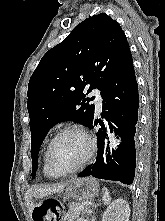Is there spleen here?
<instances>
[{
  "instance_id": "spleen-1",
  "label": "spleen",
  "mask_w": 165,
  "mask_h": 221,
  "mask_svg": "<svg viewBox=\"0 0 165 221\" xmlns=\"http://www.w3.org/2000/svg\"><path fill=\"white\" fill-rule=\"evenodd\" d=\"M103 191H104V194H103V203H104V205H107V204L110 203L111 197H110V195H109V191H108L107 188L104 187V188H103Z\"/></svg>"
}]
</instances>
